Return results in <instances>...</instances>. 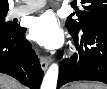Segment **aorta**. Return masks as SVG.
I'll use <instances>...</instances> for the list:
<instances>
[{"label":"aorta","instance_id":"762f6f07","mask_svg":"<svg viewBox=\"0 0 107 89\" xmlns=\"http://www.w3.org/2000/svg\"><path fill=\"white\" fill-rule=\"evenodd\" d=\"M59 74V66L52 64L47 70L41 84V89H56Z\"/></svg>","mask_w":107,"mask_h":89}]
</instances>
